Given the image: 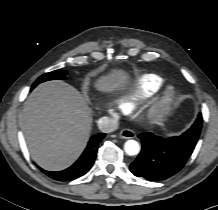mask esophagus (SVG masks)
<instances>
[{"instance_id": "esophagus-1", "label": "esophagus", "mask_w": 218, "mask_h": 210, "mask_svg": "<svg viewBox=\"0 0 218 210\" xmlns=\"http://www.w3.org/2000/svg\"><path fill=\"white\" fill-rule=\"evenodd\" d=\"M122 139H131L135 137V132L130 129H123L119 134Z\"/></svg>"}]
</instances>
